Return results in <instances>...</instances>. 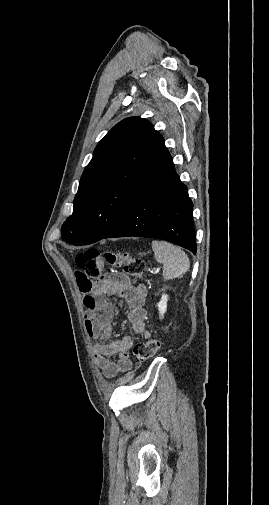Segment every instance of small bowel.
Wrapping results in <instances>:
<instances>
[{
    "label": "small bowel",
    "instance_id": "obj_1",
    "mask_svg": "<svg viewBox=\"0 0 269 505\" xmlns=\"http://www.w3.org/2000/svg\"><path fill=\"white\" fill-rule=\"evenodd\" d=\"M76 288L84 297L85 328L93 340L95 362L106 378H114L119 373H125L132 367L130 349L132 339L124 336L120 340L107 342L113 334L114 310L110 297L118 296L126 305V316L133 331L145 338L150 336L146 328V311L144 303L146 289L144 286H133L128 277L121 272H110L100 281H90L84 268L75 271ZM118 356L116 362L109 358Z\"/></svg>",
    "mask_w": 269,
    "mask_h": 505
}]
</instances>
